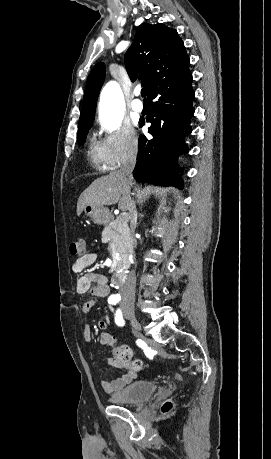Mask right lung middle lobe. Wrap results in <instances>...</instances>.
<instances>
[{"label": "right lung middle lobe", "instance_id": "obj_1", "mask_svg": "<svg viewBox=\"0 0 271 459\" xmlns=\"http://www.w3.org/2000/svg\"><path fill=\"white\" fill-rule=\"evenodd\" d=\"M93 120L94 119H90V120H84V121L79 122L78 135H77L79 145L84 144L86 135L88 133L89 128L91 127L93 123Z\"/></svg>", "mask_w": 271, "mask_h": 459}]
</instances>
